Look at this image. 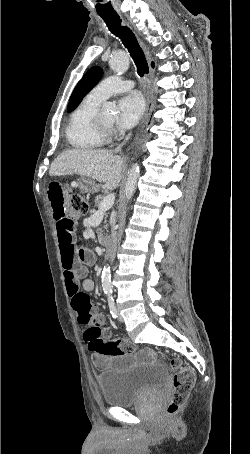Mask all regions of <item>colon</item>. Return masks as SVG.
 <instances>
[{
  "label": "colon",
  "mask_w": 250,
  "mask_h": 454,
  "mask_svg": "<svg viewBox=\"0 0 250 454\" xmlns=\"http://www.w3.org/2000/svg\"><path fill=\"white\" fill-rule=\"evenodd\" d=\"M89 211L87 199L80 193H74L71 197L70 218L73 221L80 220ZM102 319L94 316L86 317L82 324L87 326L84 332V339L88 344L89 350L105 356L131 355L136 351L133 343L125 339L109 340V331L102 327ZM173 370V394L166 407L167 416L176 415L186 404L190 393L195 384V374L193 370L184 366L178 358L169 361Z\"/></svg>",
  "instance_id": "obj_1"
}]
</instances>
